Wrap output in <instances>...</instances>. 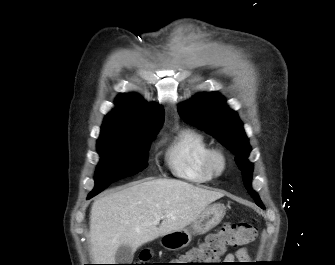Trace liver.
Returning <instances> with one entry per match:
<instances>
[{"instance_id":"liver-1","label":"liver","mask_w":335,"mask_h":265,"mask_svg":"<svg viewBox=\"0 0 335 265\" xmlns=\"http://www.w3.org/2000/svg\"><path fill=\"white\" fill-rule=\"evenodd\" d=\"M223 196L184 181L156 179L134 182L96 199L90 212L94 262L113 264L119 246L128 245L135 251L159 236L185 228Z\"/></svg>"}]
</instances>
